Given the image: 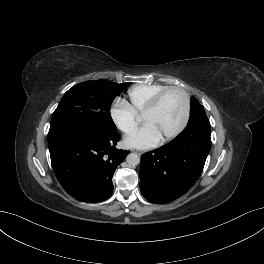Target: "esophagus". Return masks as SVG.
<instances>
[{"mask_svg": "<svg viewBox=\"0 0 264 264\" xmlns=\"http://www.w3.org/2000/svg\"><path fill=\"white\" fill-rule=\"evenodd\" d=\"M133 152H136L139 155H141L143 153L142 151H137V150H133Z\"/></svg>", "mask_w": 264, "mask_h": 264, "instance_id": "obj_1", "label": "esophagus"}]
</instances>
